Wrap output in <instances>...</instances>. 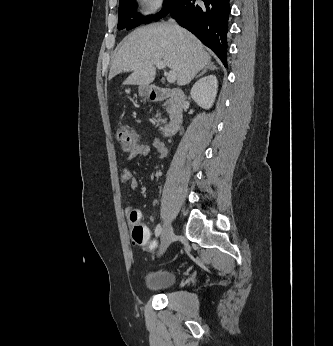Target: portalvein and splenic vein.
Instances as JSON below:
<instances>
[{"label": "portal vein and splenic vein", "mask_w": 333, "mask_h": 346, "mask_svg": "<svg viewBox=\"0 0 333 346\" xmlns=\"http://www.w3.org/2000/svg\"><path fill=\"white\" fill-rule=\"evenodd\" d=\"M155 65L158 69H164L166 67V65L162 61H157ZM165 75L167 76V81L169 83H174L176 81L177 75L174 71H170L169 73H166Z\"/></svg>", "instance_id": "1"}]
</instances>
